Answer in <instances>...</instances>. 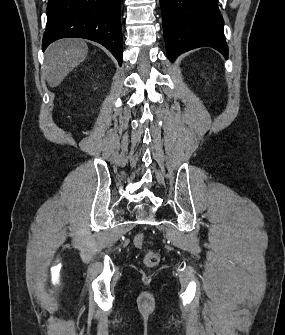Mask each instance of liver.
<instances>
[{
	"instance_id": "6515ba94",
	"label": "liver",
	"mask_w": 285,
	"mask_h": 335,
	"mask_svg": "<svg viewBox=\"0 0 285 335\" xmlns=\"http://www.w3.org/2000/svg\"><path fill=\"white\" fill-rule=\"evenodd\" d=\"M88 54V46L83 40L65 38L51 44L46 50L45 74L50 88H56L69 72L79 66Z\"/></svg>"
}]
</instances>
